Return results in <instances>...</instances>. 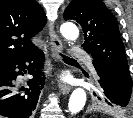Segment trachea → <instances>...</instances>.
<instances>
[{"mask_svg":"<svg viewBox=\"0 0 133 118\" xmlns=\"http://www.w3.org/2000/svg\"><path fill=\"white\" fill-rule=\"evenodd\" d=\"M62 56H63V59H64L65 61L76 62V60H74V59H72V58H70V57H67V56H64V55H62Z\"/></svg>","mask_w":133,"mask_h":118,"instance_id":"1","label":"trachea"}]
</instances>
